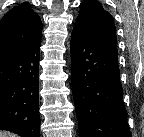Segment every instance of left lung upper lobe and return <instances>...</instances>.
<instances>
[{"instance_id":"1","label":"left lung upper lobe","mask_w":144,"mask_h":137,"mask_svg":"<svg viewBox=\"0 0 144 137\" xmlns=\"http://www.w3.org/2000/svg\"><path fill=\"white\" fill-rule=\"evenodd\" d=\"M91 38L116 47L117 39L112 16L96 0H85L80 4V13L75 26Z\"/></svg>"}]
</instances>
